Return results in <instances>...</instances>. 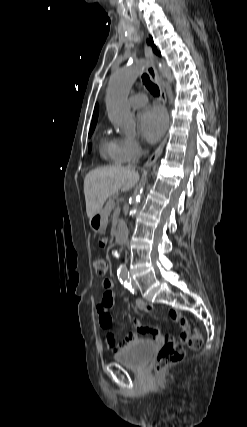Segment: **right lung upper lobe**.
Listing matches in <instances>:
<instances>
[{"instance_id":"1","label":"right lung upper lobe","mask_w":247,"mask_h":427,"mask_svg":"<svg viewBox=\"0 0 247 427\" xmlns=\"http://www.w3.org/2000/svg\"><path fill=\"white\" fill-rule=\"evenodd\" d=\"M98 118V105L95 106L91 126H95Z\"/></svg>"}]
</instances>
